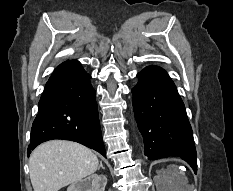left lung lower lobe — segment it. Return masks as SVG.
<instances>
[{
    "mask_svg": "<svg viewBox=\"0 0 233 191\" xmlns=\"http://www.w3.org/2000/svg\"><path fill=\"white\" fill-rule=\"evenodd\" d=\"M132 89L137 126L149 160L177 156L197 172L196 149L184 103L167 72L148 66Z\"/></svg>",
    "mask_w": 233,
    "mask_h": 191,
    "instance_id": "left-lung-lower-lobe-1",
    "label": "left lung lower lobe"
}]
</instances>
